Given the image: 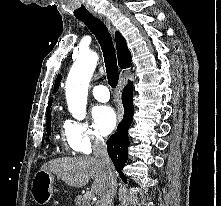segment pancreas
<instances>
[{"instance_id":"obj_1","label":"pancreas","mask_w":221,"mask_h":206,"mask_svg":"<svg viewBox=\"0 0 221 206\" xmlns=\"http://www.w3.org/2000/svg\"><path fill=\"white\" fill-rule=\"evenodd\" d=\"M76 206H90L89 200L82 195H79L74 200Z\"/></svg>"}]
</instances>
